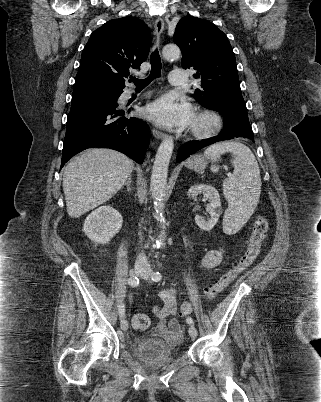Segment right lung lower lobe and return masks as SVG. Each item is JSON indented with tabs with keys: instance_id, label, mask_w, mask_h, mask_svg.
Segmentation results:
<instances>
[{
	"instance_id": "right-lung-lower-lobe-1",
	"label": "right lung lower lobe",
	"mask_w": 321,
	"mask_h": 402,
	"mask_svg": "<svg viewBox=\"0 0 321 402\" xmlns=\"http://www.w3.org/2000/svg\"><path fill=\"white\" fill-rule=\"evenodd\" d=\"M130 111L131 108H119L117 102H71L61 168L73 155L91 147L114 149L142 163L149 144V129L142 120L124 116Z\"/></svg>"
}]
</instances>
